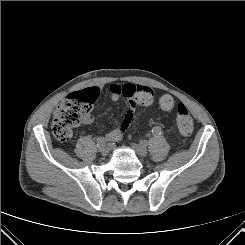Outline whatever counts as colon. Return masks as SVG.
<instances>
[{
    "label": "colon",
    "mask_w": 245,
    "mask_h": 245,
    "mask_svg": "<svg viewBox=\"0 0 245 245\" xmlns=\"http://www.w3.org/2000/svg\"><path fill=\"white\" fill-rule=\"evenodd\" d=\"M97 96V88H88L68 95L59 104L51 124L52 133L57 140L67 141L72 136L73 128L83 122ZM135 99L140 105H149L153 101V92L148 87H138ZM177 127L183 137H189L193 132V120L182 103L177 106Z\"/></svg>",
    "instance_id": "colon-1"
}]
</instances>
